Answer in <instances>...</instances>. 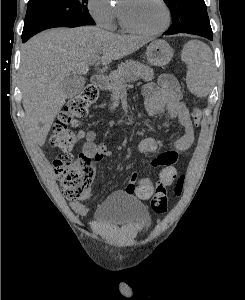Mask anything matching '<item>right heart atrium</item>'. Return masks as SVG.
<instances>
[{
	"label": "right heart atrium",
	"mask_w": 245,
	"mask_h": 300,
	"mask_svg": "<svg viewBox=\"0 0 245 300\" xmlns=\"http://www.w3.org/2000/svg\"><path fill=\"white\" fill-rule=\"evenodd\" d=\"M88 10L94 21L102 28L116 27L118 9L111 0H88Z\"/></svg>",
	"instance_id": "d8ad5b80"
}]
</instances>
